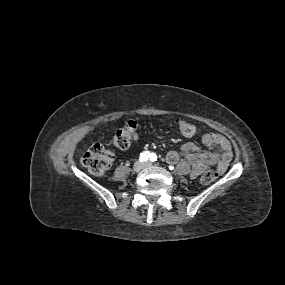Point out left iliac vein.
I'll return each mask as SVG.
<instances>
[{"label":"left iliac vein","instance_id":"obj_1","mask_svg":"<svg viewBox=\"0 0 285 285\" xmlns=\"http://www.w3.org/2000/svg\"><path fill=\"white\" fill-rule=\"evenodd\" d=\"M144 166H145V167H149V166H151V163H150V162H146V163L144 164Z\"/></svg>","mask_w":285,"mask_h":285}]
</instances>
